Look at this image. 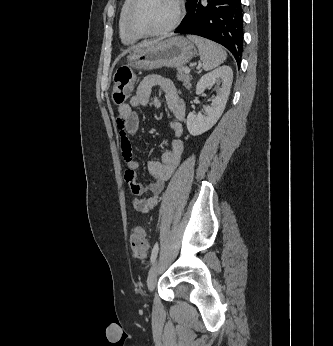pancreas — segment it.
Masks as SVG:
<instances>
[{
  "label": "pancreas",
  "mask_w": 333,
  "mask_h": 346,
  "mask_svg": "<svg viewBox=\"0 0 333 346\" xmlns=\"http://www.w3.org/2000/svg\"><path fill=\"white\" fill-rule=\"evenodd\" d=\"M184 69H185L184 67H180L177 69V71H178L177 77L183 83V85L185 87L190 88L191 87V83H190L191 76L189 74L185 73Z\"/></svg>",
  "instance_id": "cf45deb5"
}]
</instances>
